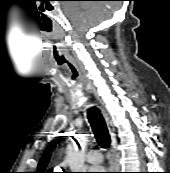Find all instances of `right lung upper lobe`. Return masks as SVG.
<instances>
[{"mask_svg":"<svg viewBox=\"0 0 170 173\" xmlns=\"http://www.w3.org/2000/svg\"><path fill=\"white\" fill-rule=\"evenodd\" d=\"M56 142H52L50 144V146L45 150V152L43 153V156L42 158L40 159V162L38 164V169H37V172L36 173H46L45 172V169H46V166L49 162V158H50V154L51 152L53 151L55 145H56Z\"/></svg>","mask_w":170,"mask_h":173,"instance_id":"cb5924a9","label":"right lung upper lobe"}]
</instances>
